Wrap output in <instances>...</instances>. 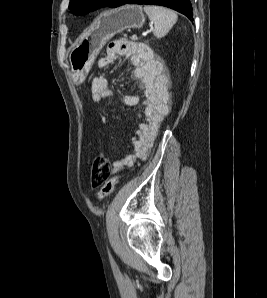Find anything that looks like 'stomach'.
Instances as JSON below:
<instances>
[{
  "label": "stomach",
  "mask_w": 267,
  "mask_h": 298,
  "mask_svg": "<svg viewBox=\"0 0 267 298\" xmlns=\"http://www.w3.org/2000/svg\"><path fill=\"white\" fill-rule=\"evenodd\" d=\"M144 23L145 15L139 5H125L103 13L90 34L81 39L69 55L73 80L77 84L85 80L95 58L116 33L141 28Z\"/></svg>",
  "instance_id": "stomach-1"
}]
</instances>
